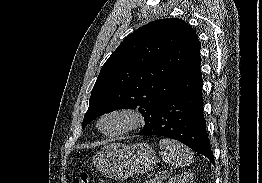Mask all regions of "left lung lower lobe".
Returning a JSON list of instances; mask_svg holds the SVG:
<instances>
[{
	"label": "left lung lower lobe",
	"instance_id": "0a47b994",
	"mask_svg": "<svg viewBox=\"0 0 262 183\" xmlns=\"http://www.w3.org/2000/svg\"><path fill=\"white\" fill-rule=\"evenodd\" d=\"M201 57L161 103L147 128L139 135L173 138L207 157L215 165L203 114Z\"/></svg>",
	"mask_w": 262,
	"mask_h": 183
}]
</instances>
